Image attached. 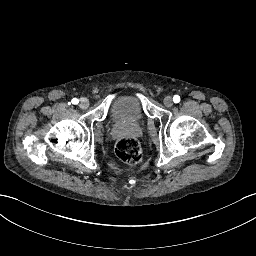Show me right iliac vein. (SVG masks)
Listing matches in <instances>:
<instances>
[{
    "label": "right iliac vein",
    "mask_w": 256,
    "mask_h": 256,
    "mask_svg": "<svg viewBox=\"0 0 256 256\" xmlns=\"http://www.w3.org/2000/svg\"><path fill=\"white\" fill-rule=\"evenodd\" d=\"M89 107V100L87 98L80 99V108L85 110Z\"/></svg>",
    "instance_id": "right-iliac-vein-1"
}]
</instances>
